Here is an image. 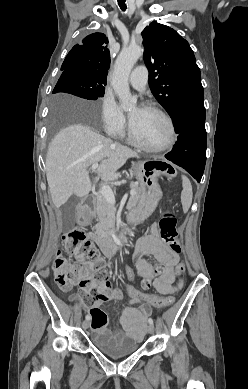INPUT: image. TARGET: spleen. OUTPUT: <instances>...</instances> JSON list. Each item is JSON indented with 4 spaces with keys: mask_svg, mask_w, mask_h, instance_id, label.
<instances>
[{
    "mask_svg": "<svg viewBox=\"0 0 248 389\" xmlns=\"http://www.w3.org/2000/svg\"><path fill=\"white\" fill-rule=\"evenodd\" d=\"M182 187L183 190L181 192V203L183 211L186 213L192 204L193 198L192 185L186 176H182Z\"/></svg>",
    "mask_w": 248,
    "mask_h": 389,
    "instance_id": "obj_1",
    "label": "spleen"
}]
</instances>
